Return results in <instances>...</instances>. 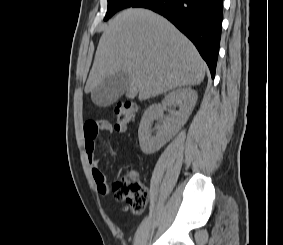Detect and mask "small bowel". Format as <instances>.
<instances>
[{
  "label": "small bowel",
  "instance_id": "small-bowel-1",
  "mask_svg": "<svg viewBox=\"0 0 283 245\" xmlns=\"http://www.w3.org/2000/svg\"><path fill=\"white\" fill-rule=\"evenodd\" d=\"M99 132H112V126L107 121L90 120L84 124L83 135L85 140V150L88 161L91 165L93 179L96 183L97 190L102 195L109 193L108 180L99 167V160L95 155L96 137ZM115 144L119 145L120 141L116 140Z\"/></svg>",
  "mask_w": 283,
  "mask_h": 245
}]
</instances>
